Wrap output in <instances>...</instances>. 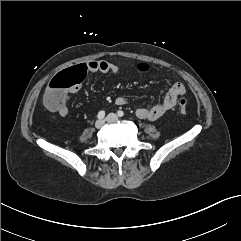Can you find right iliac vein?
I'll list each match as a JSON object with an SVG mask.
<instances>
[{"instance_id":"obj_1","label":"right iliac vein","mask_w":241,"mask_h":241,"mask_svg":"<svg viewBox=\"0 0 241 241\" xmlns=\"http://www.w3.org/2000/svg\"><path fill=\"white\" fill-rule=\"evenodd\" d=\"M103 126H104V121H103V120H97V121L95 122V127H96L97 129H101Z\"/></svg>"}]
</instances>
